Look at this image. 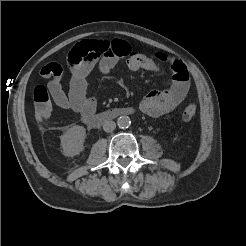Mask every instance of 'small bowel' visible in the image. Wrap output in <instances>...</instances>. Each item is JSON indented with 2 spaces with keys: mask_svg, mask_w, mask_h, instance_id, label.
Masks as SVG:
<instances>
[{
  "mask_svg": "<svg viewBox=\"0 0 246 246\" xmlns=\"http://www.w3.org/2000/svg\"><path fill=\"white\" fill-rule=\"evenodd\" d=\"M122 58L132 71L146 70L162 73L160 63L170 66L172 76L165 80V88L151 91L140 102V110L158 117L175 110L186 98L189 90V74L186 66L170 55L158 52L153 58L138 53L123 40H84L77 43L67 56V68L70 71V87L66 94L60 79L63 68L58 63H49L41 69V76L48 79V90L54 103L65 110H72L83 116L93 114L97 100L88 97V76L97 67L101 74L107 75Z\"/></svg>",
  "mask_w": 246,
  "mask_h": 246,
  "instance_id": "small-bowel-1",
  "label": "small bowel"
}]
</instances>
